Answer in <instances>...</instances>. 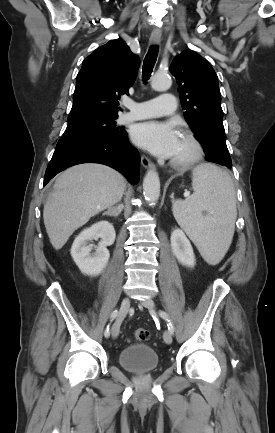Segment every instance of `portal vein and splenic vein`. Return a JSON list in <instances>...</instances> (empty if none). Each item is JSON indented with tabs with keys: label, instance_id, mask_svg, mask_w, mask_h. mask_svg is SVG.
I'll use <instances>...</instances> for the list:
<instances>
[{
	"label": "portal vein and splenic vein",
	"instance_id": "1",
	"mask_svg": "<svg viewBox=\"0 0 275 433\" xmlns=\"http://www.w3.org/2000/svg\"><path fill=\"white\" fill-rule=\"evenodd\" d=\"M190 195V192L189 191H186L185 193H184V196H189Z\"/></svg>",
	"mask_w": 275,
	"mask_h": 433
}]
</instances>
